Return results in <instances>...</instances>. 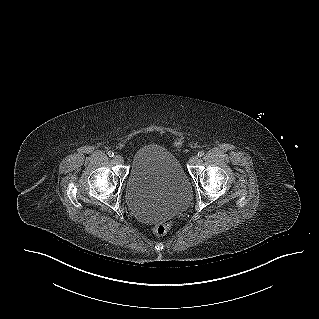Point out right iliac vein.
<instances>
[{
  "label": "right iliac vein",
  "instance_id": "63e3f726",
  "mask_svg": "<svg viewBox=\"0 0 319 319\" xmlns=\"http://www.w3.org/2000/svg\"><path fill=\"white\" fill-rule=\"evenodd\" d=\"M113 160L117 163V164H123L124 163V159L121 155H115L113 157Z\"/></svg>",
  "mask_w": 319,
  "mask_h": 319
}]
</instances>
